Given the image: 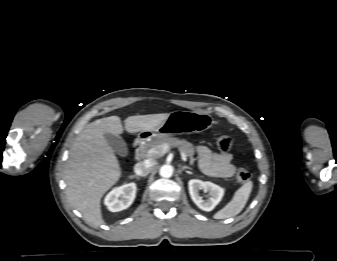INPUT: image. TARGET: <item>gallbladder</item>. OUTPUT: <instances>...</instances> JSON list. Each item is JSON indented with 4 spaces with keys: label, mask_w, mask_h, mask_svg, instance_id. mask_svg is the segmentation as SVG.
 <instances>
[{
    "label": "gallbladder",
    "mask_w": 337,
    "mask_h": 261,
    "mask_svg": "<svg viewBox=\"0 0 337 261\" xmlns=\"http://www.w3.org/2000/svg\"><path fill=\"white\" fill-rule=\"evenodd\" d=\"M104 137L112 149L120 156H126L128 148L124 140L120 136H115L110 133H105Z\"/></svg>",
    "instance_id": "1"
}]
</instances>
